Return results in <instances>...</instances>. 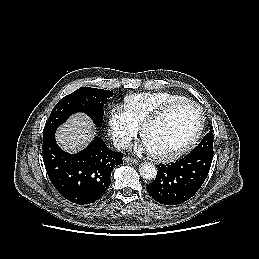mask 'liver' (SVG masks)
Returning a JSON list of instances; mask_svg holds the SVG:
<instances>
[{"label":"liver","mask_w":259,"mask_h":259,"mask_svg":"<svg viewBox=\"0 0 259 259\" xmlns=\"http://www.w3.org/2000/svg\"><path fill=\"white\" fill-rule=\"evenodd\" d=\"M94 132V125L88 116L76 114L59 128L56 138L65 151L76 153L87 146Z\"/></svg>","instance_id":"6515ba94"}]
</instances>
